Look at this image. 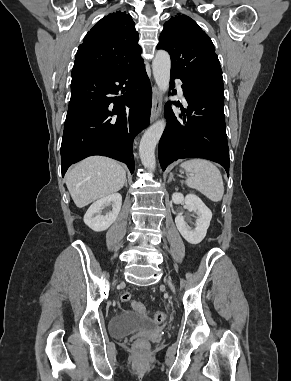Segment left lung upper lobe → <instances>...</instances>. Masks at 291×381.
<instances>
[{
    "instance_id": "1",
    "label": "left lung upper lobe",
    "mask_w": 291,
    "mask_h": 381,
    "mask_svg": "<svg viewBox=\"0 0 291 381\" xmlns=\"http://www.w3.org/2000/svg\"><path fill=\"white\" fill-rule=\"evenodd\" d=\"M171 58V74L204 91H223L220 63L210 37L190 17L176 15L165 22L157 45Z\"/></svg>"
}]
</instances>
